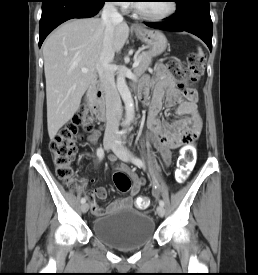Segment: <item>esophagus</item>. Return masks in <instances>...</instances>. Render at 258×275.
Returning <instances> with one entry per match:
<instances>
[{
    "label": "esophagus",
    "instance_id": "esophagus-1",
    "mask_svg": "<svg viewBox=\"0 0 258 275\" xmlns=\"http://www.w3.org/2000/svg\"><path fill=\"white\" fill-rule=\"evenodd\" d=\"M133 28H134V29H141L142 26L139 25L138 23H134V24H133Z\"/></svg>",
    "mask_w": 258,
    "mask_h": 275
}]
</instances>
